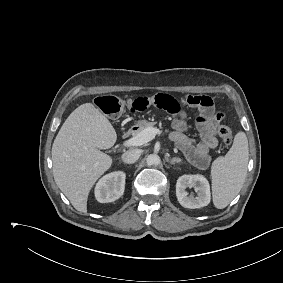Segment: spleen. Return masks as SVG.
I'll use <instances>...</instances> for the list:
<instances>
[{"instance_id":"obj_1","label":"spleen","mask_w":283,"mask_h":283,"mask_svg":"<svg viewBox=\"0 0 283 283\" xmlns=\"http://www.w3.org/2000/svg\"><path fill=\"white\" fill-rule=\"evenodd\" d=\"M248 159L246 134L238 132L228 153L212 163V199L216 208H225L240 192L247 174Z\"/></svg>"}]
</instances>
